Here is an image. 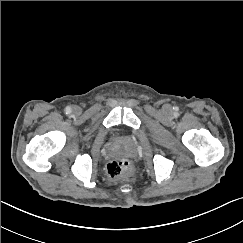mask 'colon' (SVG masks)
<instances>
[{"label": "colon", "mask_w": 243, "mask_h": 243, "mask_svg": "<svg viewBox=\"0 0 243 243\" xmlns=\"http://www.w3.org/2000/svg\"><path fill=\"white\" fill-rule=\"evenodd\" d=\"M107 174L112 179L125 178L132 172L131 163L123 158H115L108 162Z\"/></svg>", "instance_id": "5ec220e1"}]
</instances>
